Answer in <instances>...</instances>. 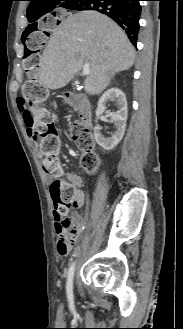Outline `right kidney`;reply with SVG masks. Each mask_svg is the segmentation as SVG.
I'll return each instance as SVG.
<instances>
[{
    "instance_id": "1",
    "label": "right kidney",
    "mask_w": 183,
    "mask_h": 329,
    "mask_svg": "<svg viewBox=\"0 0 183 329\" xmlns=\"http://www.w3.org/2000/svg\"><path fill=\"white\" fill-rule=\"evenodd\" d=\"M109 101H116L118 105V111H107L111 117V122L114 123L115 131L110 137H105L101 133L100 126L94 128L95 140L104 150L113 149L122 140L127 120V100L125 94L118 88H110L100 97L96 117L99 118L106 111V104Z\"/></svg>"
}]
</instances>
